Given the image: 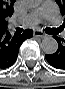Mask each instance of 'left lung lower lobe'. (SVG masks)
Segmentation results:
<instances>
[{
	"instance_id": "0a47b994",
	"label": "left lung lower lobe",
	"mask_w": 65,
	"mask_h": 89,
	"mask_svg": "<svg viewBox=\"0 0 65 89\" xmlns=\"http://www.w3.org/2000/svg\"><path fill=\"white\" fill-rule=\"evenodd\" d=\"M53 37L58 42V50L54 54L45 55V58L53 67L65 70V38Z\"/></svg>"
}]
</instances>
